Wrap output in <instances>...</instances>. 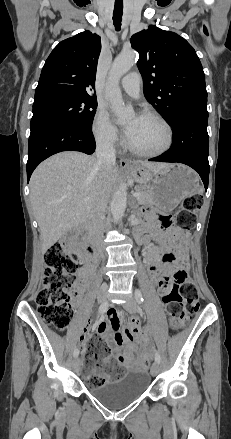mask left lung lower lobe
Segmentation results:
<instances>
[{
    "label": "left lung lower lobe",
    "instance_id": "left-lung-lower-lobe-1",
    "mask_svg": "<svg viewBox=\"0 0 231 439\" xmlns=\"http://www.w3.org/2000/svg\"><path fill=\"white\" fill-rule=\"evenodd\" d=\"M208 112L193 110L179 115L173 128V143L171 148L162 155L149 161L178 162L186 164L197 171L208 188Z\"/></svg>",
    "mask_w": 231,
    "mask_h": 439
}]
</instances>
